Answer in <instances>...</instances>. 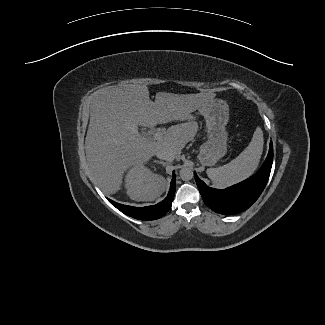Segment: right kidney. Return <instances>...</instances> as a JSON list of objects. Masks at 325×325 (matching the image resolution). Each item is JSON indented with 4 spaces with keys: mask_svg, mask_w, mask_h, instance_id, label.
<instances>
[{
    "mask_svg": "<svg viewBox=\"0 0 325 325\" xmlns=\"http://www.w3.org/2000/svg\"><path fill=\"white\" fill-rule=\"evenodd\" d=\"M165 179L147 168H132L126 177L127 194L136 201H152L165 189Z\"/></svg>",
    "mask_w": 325,
    "mask_h": 325,
    "instance_id": "obj_1",
    "label": "right kidney"
}]
</instances>
